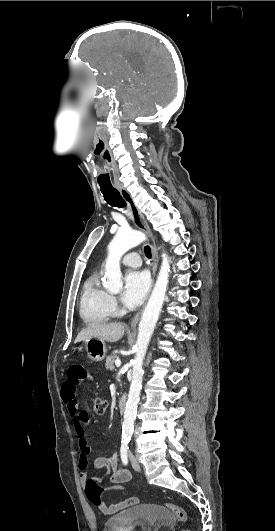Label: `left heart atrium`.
Returning a JSON list of instances; mask_svg holds the SVG:
<instances>
[{
    "mask_svg": "<svg viewBox=\"0 0 275 531\" xmlns=\"http://www.w3.org/2000/svg\"><path fill=\"white\" fill-rule=\"evenodd\" d=\"M150 287L149 273L141 268L130 269L124 276L122 300L131 307H137L145 298Z\"/></svg>",
    "mask_w": 275,
    "mask_h": 531,
    "instance_id": "39dd6f15",
    "label": "left heart atrium"
}]
</instances>
